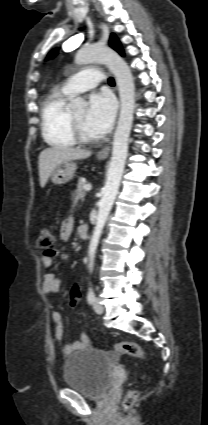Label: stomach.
<instances>
[{
  "mask_svg": "<svg viewBox=\"0 0 208 425\" xmlns=\"http://www.w3.org/2000/svg\"><path fill=\"white\" fill-rule=\"evenodd\" d=\"M77 166L72 161H67L59 164L51 173V181L55 185H62L74 177Z\"/></svg>",
  "mask_w": 208,
  "mask_h": 425,
  "instance_id": "0dacf381",
  "label": "stomach"
}]
</instances>
